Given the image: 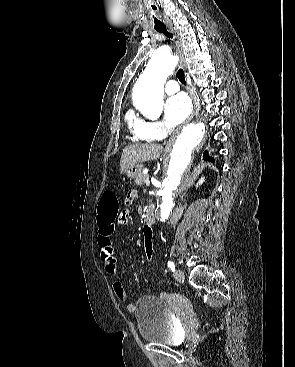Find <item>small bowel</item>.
<instances>
[{
	"label": "small bowel",
	"mask_w": 295,
	"mask_h": 367,
	"mask_svg": "<svg viewBox=\"0 0 295 367\" xmlns=\"http://www.w3.org/2000/svg\"><path fill=\"white\" fill-rule=\"evenodd\" d=\"M135 197V192L130 191L126 199H130V203ZM129 214L128 208H121L118 213L117 221L120 226L128 225ZM115 231V220L101 221L98 219V232L97 242L100 249V256L104 263L105 271L109 274H115L117 272V263L114 256V250L111 242V237ZM112 288L115 296L118 300L125 302L127 301V293L123 286V282L120 279H114L112 282ZM129 312L135 311L136 307L133 303H128L126 306Z\"/></svg>",
	"instance_id": "small-bowel-1"
}]
</instances>
